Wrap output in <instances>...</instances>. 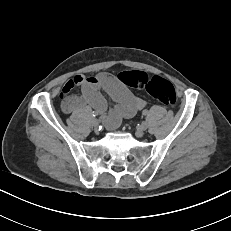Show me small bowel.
<instances>
[{
	"label": "small bowel",
	"instance_id": "c3829d8e",
	"mask_svg": "<svg viewBox=\"0 0 231 231\" xmlns=\"http://www.w3.org/2000/svg\"><path fill=\"white\" fill-rule=\"evenodd\" d=\"M75 87H80V96L71 94ZM103 93L112 99L114 106L108 108ZM60 97L65 113L91 107L101 114L104 125L109 129H115L122 119L133 117L146 106L145 100L135 96L116 76L106 72L74 76L65 82Z\"/></svg>",
	"mask_w": 231,
	"mask_h": 231
}]
</instances>
